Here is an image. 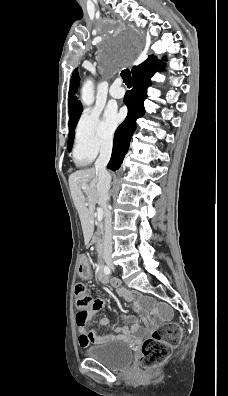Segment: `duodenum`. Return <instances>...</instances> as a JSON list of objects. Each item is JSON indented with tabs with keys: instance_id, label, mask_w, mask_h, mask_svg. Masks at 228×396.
Masks as SVG:
<instances>
[{
	"instance_id": "1",
	"label": "duodenum",
	"mask_w": 228,
	"mask_h": 396,
	"mask_svg": "<svg viewBox=\"0 0 228 396\" xmlns=\"http://www.w3.org/2000/svg\"><path fill=\"white\" fill-rule=\"evenodd\" d=\"M99 255H101V250L99 251ZM98 277L100 278V280L106 281V278H105V276H104V274H103L101 268H99Z\"/></svg>"
}]
</instances>
